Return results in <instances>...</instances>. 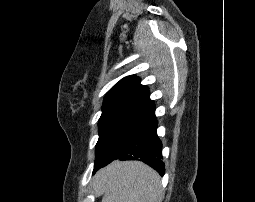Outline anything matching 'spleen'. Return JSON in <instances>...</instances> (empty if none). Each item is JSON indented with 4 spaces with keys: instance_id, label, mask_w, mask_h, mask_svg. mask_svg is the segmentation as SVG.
<instances>
[{
    "instance_id": "3e777b00",
    "label": "spleen",
    "mask_w": 255,
    "mask_h": 202,
    "mask_svg": "<svg viewBox=\"0 0 255 202\" xmlns=\"http://www.w3.org/2000/svg\"><path fill=\"white\" fill-rule=\"evenodd\" d=\"M102 202H158L160 178L156 171L138 162H116L97 177Z\"/></svg>"
}]
</instances>
